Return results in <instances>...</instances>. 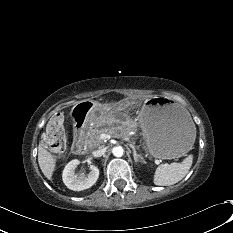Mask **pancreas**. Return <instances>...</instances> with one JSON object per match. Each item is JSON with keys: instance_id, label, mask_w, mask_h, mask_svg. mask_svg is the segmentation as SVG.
<instances>
[{"instance_id": "cf45deb5", "label": "pancreas", "mask_w": 233, "mask_h": 233, "mask_svg": "<svg viewBox=\"0 0 233 233\" xmlns=\"http://www.w3.org/2000/svg\"><path fill=\"white\" fill-rule=\"evenodd\" d=\"M112 120L103 119L99 123H94L93 126H90L87 132V142L90 147H98L103 143V140L100 138L102 133H108L114 137H126L130 131L134 128L133 126L128 127L126 130L120 131L118 127H110ZM108 125V126H104Z\"/></svg>"}]
</instances>
